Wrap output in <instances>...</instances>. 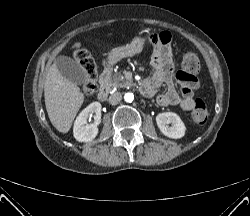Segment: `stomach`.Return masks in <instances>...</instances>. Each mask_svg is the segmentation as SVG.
Segmentation results:
<instances>
[{"mask_svg":"<svg viewBox=\"0 0 250 216\" xmlns=\"http://www.w3.org/2000/svg\"><path fill=\"white\" fill-rule=\"evenodd\" d=\"M146 43L145 37H137L131 41V43L114 48L107 57L108 64L114 65L120 60L132 57L136 54H139L144 49Z\"/></svg>","mask_w":250,"mask_h":216,"instance_id":"0dacf381","label":"stomach"}]
</instances>
